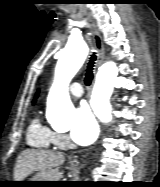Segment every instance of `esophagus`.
Instances as JSON below:
<instances>
[{
    "label": "esophagus",
    "instance_id": "34e87169",
    "mask_svg": "<svg viewBox=\"0 0 160 187\" xmlns=\"http://www.w3.org/2000/svg\"><path fill=\"white\" fill-rule=\"evenodd\" d=\"M91 27H92L95 47L97 50V67H99L104 61L105 48H104L102 36H101L99 30L97 29L96 25L92 24Z\"/></svg>",
    "mask_w": 160,
    "mask_h": 187
}]
</instances>
